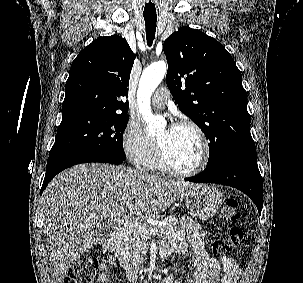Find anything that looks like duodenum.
<instances>
[{"mask_svg":"<svg viewBox=\"0 0 303 283\" xmlns=\"http://www.w3.org/2000/svg\"><path fill=\"white\" fill-rule=\"evenodd\" d=\"M120 234H121V229L117 228L108 235L107 245H108L109 249L113 248V246L115 245V243H116ZM146 270L147 269L144 268V267H139V268L136 269L137 272H143V271H146Z\"/></svg>","mask_w":303,"mask_h":283,"instance_id":"1","label":"duodenum"}]
</instances>
